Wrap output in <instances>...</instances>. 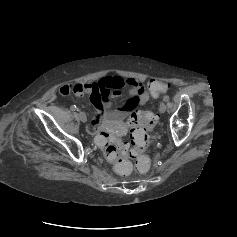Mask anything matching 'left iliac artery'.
Wrapping results in <instances>:
<instances>
[{
	"mask_svg": "<svg viewBox=\"0 0 237 237\" xmlns=\"http://www.w3.org/2000/svg\"><path fill=\"white\" fill-rule=\"evenodd\" d=\"M169 99H170V97H169L168 95L164 96V98H163V100H164L165 102H168Z\"/></svg>",
	"mask_w": 237,
	"mask_h": 237,
	"instance_id": "44dca946",
	"label": "left iliac artery"
}]
</instances>
